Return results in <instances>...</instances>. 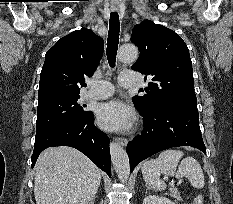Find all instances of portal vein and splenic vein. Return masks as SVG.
Here are the masks:
<instances>
[{
    "instance_id": "1",
    "label": "portal vein and splenic vein",
    "mask_w": 233,
    "mask_h": 204,
    "mask_svg": "<svg viewBox=\"0 0 233 204\" xmlns=\"http://www.w3.org/2000/svg\"><path fill=\"white\" fill-rule=\"evenodd\" d=\"M164 180L167 181V180H168V177H164ZM172 185H173V183H172Z\"/></svg>"
}]
</instances>
